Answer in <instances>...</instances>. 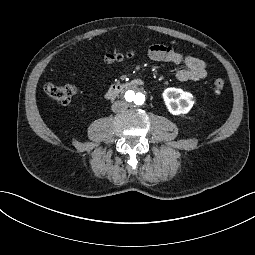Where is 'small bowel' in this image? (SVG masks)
<instances>
[{
  "instance_id": "c3829d8e",
  "label": "small bowel",
  "mask_w": 255,
  "mask_h": 255,
  "mask_svg": "<svg viewBox=\"0 0 255 255\" xmlns=\"http://www.w3.org/2000/svg\"><path fill=\"white\" fill-rule=\"evenodd\" d=\"M147 56L157 62L183 64L184 69L177 72L180 81H199L207 76V63L197 57L184 55L165 44L157 43L148 47Z\"/></svg>"
}]
</instances>
